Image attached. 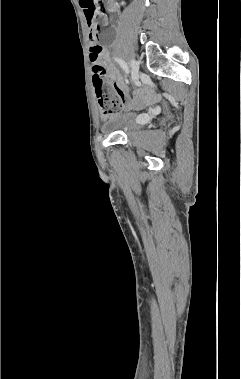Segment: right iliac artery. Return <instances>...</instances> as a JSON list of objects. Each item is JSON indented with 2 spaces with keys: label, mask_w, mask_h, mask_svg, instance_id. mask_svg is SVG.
<instances>
[{
  "label": "right iliac artery",
  "mask_w": 241,
  "mask_h": 379,
  "mask_svg": "<svg viewBox=\"0 0 241 379\" xmlns=\"http://www.w3.org/2000/svg\"><path fill=\"white\" fill-rule=\"evenodd\" d=\"M114 59H115V61H117L119 63V65L125 71V73H127V74L130 73L129 67H128V65H127V63L125 61H123L120 58H114Z\"/></svg>",
  "instance_id": "1"
}]
</instances>
